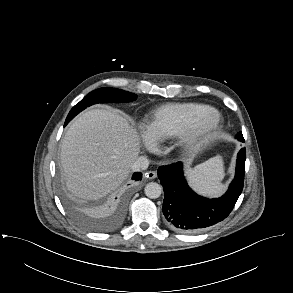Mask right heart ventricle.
I'll list each match as a JSON object with an SVG mask.
<instances>
[{
  "mask_svg": "<svg viewBox=\"0 0 293 293\" xmlns=\"http://www.w3.org/2000/svg\"><path fill=\"white\" fill-rule=\"evenodd\" d=\"M214 110L200 103H169L158 107L146 122V128L156 141H166L182 135L201 114Z\"/></svg>",
  "mask_w": 293,
  "mask_h": 293,
  "instance_id": "right-heart-ventricle-1",
  "label": "right heart ventricle"
}]
</instances>
